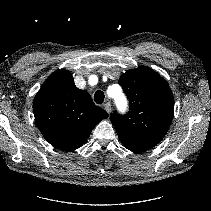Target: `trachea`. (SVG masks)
Here are the masks:
<instances>
[{"instance_id": "1", "label": "trachea", "mask_w": 211, "mask_h": 211, "mask_svg": "<svg viewBox=\"0 0 211 211\" xmlns=\"http://www.w3.org/2000/svg\"><path fill=\"white\" fill-rule=\"evenodd\" d=\"M104 93L100 90L96 91L95 94H94V101L97 103V104H102L104 102Z\"/></svg>"}]
</instances>
